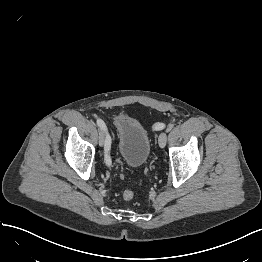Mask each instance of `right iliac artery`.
<instances>
[{"label":"right iliac artery","instance_id":"82829eb1","mask_svg":"<svg viewBox=\"0 0 262 262\" xmlns=\"http://www.w3.org/2000/svg\"><path fill=\"white\" fill-rule=\"evenodd\" d=\"M97 125L102 128L103 130H107L105 123L101 120V119H97ZM110 137L108 136L106 144H105V162L108 165H111L112 161H111V157L109 154V150H110Z\"/></svg>","mask_w":262,"mask_h":262}]
</instances>
